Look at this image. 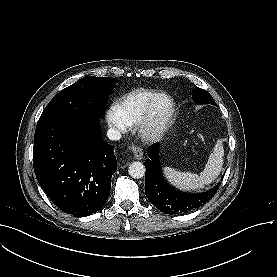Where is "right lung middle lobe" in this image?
Masks as SVG:
<instances>
[{
    "instance_id": "right-lung-middle-lobe-1",
    "label": "right lung middle lobe",
    "mask_w": 277,
    "mask_h": 277,
    "mask_svg": "<svg viewBox=\"0 0 277 277\" xmlns=\"http://www.w3.org/2000/svg\"><path fill=\"white\" fill-rule=\"evenodd\" d=\"M117 80L86 76L60 91L45 107L37 125L60 120L100 118Z\"/></svg>"
}]
</instances>
